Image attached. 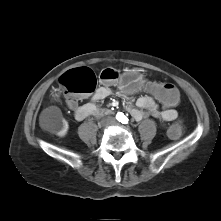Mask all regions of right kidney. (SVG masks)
I'll list each match as a JSON object with an SVG mask.
<instances>
[{
    "label": "right kidney",
    "instance_id": "1",
    "mask_svg": "<svg viewBox=\"0 0 221 221\" xmlns=\"http://www.w3.org/2000/svg\"><path fill=\"white\" fill-rule=\"evenodd\" d=\"M68 129H69L68 122L65 119L61 118L55 122L51 130L57 136L64 137L67 134Z\"/></svg>",
    "mask_w": 221,
    "mask_h": 221
}]
</instances>
